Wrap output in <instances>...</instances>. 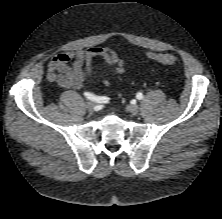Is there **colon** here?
<instances>
[{
    "instance_id": "colon-1",
    "label": "colon",
    "mask_w": 222,
    "mask_h": 219,
    "mask_svg": "<svg viewBox=\"0 0 222 219\" xmlns=\"http://www.w3.org/2000/svg\"><path fill=\"white\" fill-rule=\"evenodd\" d=\"M147 57L163 65H173L177 61V57L173 53H149Z\"/></svg>"
}]
</instances>
